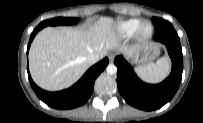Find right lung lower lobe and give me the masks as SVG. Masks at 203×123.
<instances>
[{"instance_id":"98d812e1","label":"right lung lower lobe","mask_w":203,"mask_h":123,"mask_svg":"<svg viewBox=\"0 0 203 123\" xmlns=\"http://www.w3.org/2000/svg\"><path fill=\"white\" fill-rule=\"evenodd\" d=\"M41 29L42 28L40 26H37L31 33L27 52L30 48L33 38ZM108 63V58H104L102 61L88 69V71L76 84H74L69 89L59 92H48L42 90L33 82L28 69L27 71L31 87L40 100L52 108L71 109L84 104L89 99L93 92L96 78L105 69Z\"/></svg>"}]
</instances>
